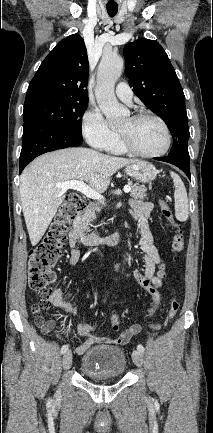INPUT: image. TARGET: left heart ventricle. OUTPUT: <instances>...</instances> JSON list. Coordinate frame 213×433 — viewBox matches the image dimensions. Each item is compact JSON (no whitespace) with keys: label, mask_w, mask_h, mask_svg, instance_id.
I'll list each match as a JSON object with an SVG mask.
<instances>
[{"label":"left heart ventricle","mask_w":213,"mask_h":433,"mask_svg":"<svg viewBox=\"0 0 213 433\" xmlns=\"http://www.w3.org/2000/svg\"><path fill=\"white\" fill-rule=\"evenodd\" d=\"M118 131L123 133L133 146L142 152L156 153L161 151L166 144L163 128L151 119L133 121L129 117Z\"/></svg>","instance_id":"obj_1"}]
</instances>
